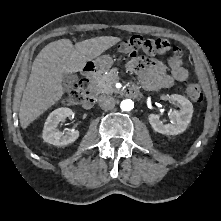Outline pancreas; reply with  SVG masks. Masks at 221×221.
<instances>
[{"mask_svg": "<svg viewBox=\"0 0 221 221\" xmlns=\"http://www.w3.org/2000/svg\"><path fill=\"white\" fill-rule=\"evenodd\" d=\"M116 82L114 71H109L107 74H98L92 82L91 91L98 94H112L116 91L114 84Z\"/></svg>", "mask_w": 221, "mask_h": 221, "instance_id": "1", "label": "pancreas"}]
</instances>
